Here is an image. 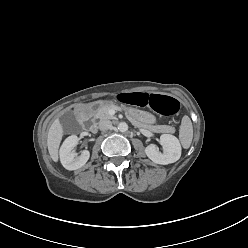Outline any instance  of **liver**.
Instances as JSON below:
<instances>
[{"label":"liver","mask_w":248,"mask_h":248,"mask_svg":"<svg viewBox=\"0 0 248 248\" xmlns=\"http://www.w3.org/2000/svg\"><path fill=\"white\" fill-rule=\"evenodd\" d=\"M82 104H78L77 106H81ZM63 127L60 123V120L57 118L54 120L52 125L49 128L47 135V146L50 157L54 162L58 161V151L59 146L63 137Z\"/></svg>","instance_id":"obj_1"}]
</instances>
